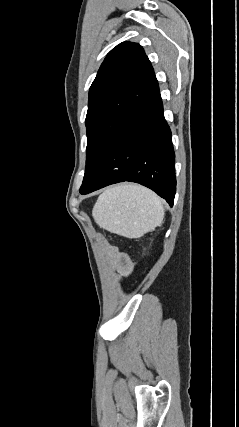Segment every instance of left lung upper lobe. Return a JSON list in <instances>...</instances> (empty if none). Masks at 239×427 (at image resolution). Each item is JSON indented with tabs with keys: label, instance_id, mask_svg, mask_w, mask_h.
Returning a JSON list of instances; mask_svg holds the SVG:
<instances>
[{
	"label": "left lung upper lobe",
	"instance_id": "obj_1",
	"mask_svg": "<svg viewBox=\"0 0 239 427\" xmlns=\"http://www.w3.org/2000/svg\"><path fill=\"white\" fill-rule=\"evenodd\" d=\"M158 91L154 70L139 44L121 43L108 53L89 90L86 167L80 191L114 135Z\"/></svg>",
	"mask_w": 239,
	"mask_h": 427
}]
</instances>
